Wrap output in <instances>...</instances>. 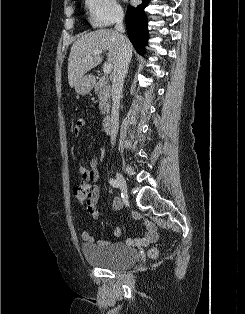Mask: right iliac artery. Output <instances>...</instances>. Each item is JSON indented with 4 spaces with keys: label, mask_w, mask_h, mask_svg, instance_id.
<instances>
[{
    "label": "right iliac artery",
    "mask_w": 245,
    "mask_h": 314,
    "mask_svg": "<svg viewBox=\"0 0 245 314\" xmlns=\"http://www.w3.org/2000/svg\"><path fill=\"white\" fill-rule=\"evenodd\" d=\"M109 183L114 188H118L119 187L118 182L115 179H113V178L109 180Z\"/></svg>",
    "instance_id": "1"
}]
</instances>
